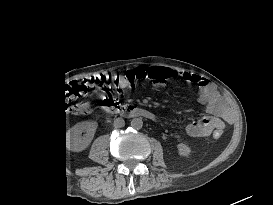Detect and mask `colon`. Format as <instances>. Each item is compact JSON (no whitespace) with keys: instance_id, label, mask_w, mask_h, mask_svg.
<instances>
[{"instance_id":"1","label":"colon","mask_w":273,"mask_h":205,"mask_svg":"<svg viewBox=\"0 0 273 205\" xmlns=\"http://www.w3.org/2000/svg\"><path fill=\"white\" fill-rule=\"evenodd\" d=\"M146 79L152 81L153 83L165 81L164 78L157 77L154 74L149 77L147 74V69L138 68L124 74H108L93 77L91 80L87 81L85 87L89 90L122 92L127 87L134 85L136 82ZM67 109L72 114L82 115L87 113L89 106L85 101L78 100L76 97H74L69 104H67ZM221 135L222 132L220 130H216L214 132L215 138H220Z\"/></svg>"}]
</instances>
